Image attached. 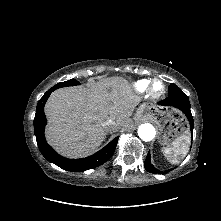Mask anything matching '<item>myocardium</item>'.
<instances>
[{
  "label": "myocardium",
  "mask_w": 221,
  "mask_h": 221,
  "mask_svg": "<svg viewBox=\"0 0 221 221\" xmlns=\"http://www.w3.org/2000/svg\"><path fill=\"white\" fill-rule=\"evenodd\" d=\"M157 84L161 85L160 90L155 89V86ZM148 86H149L148 87V93H149L150 97L153 98V99H158L166 93V85L160 79H154L152 82H150V84Z\"/></svg>",
  "instance_id": "f54148a6"
}]
</instances>
